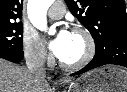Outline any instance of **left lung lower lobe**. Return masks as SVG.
<instances>
[{
  "mask_svg": "<svg viewBox=\"0 0 127 92\" xmlns=\"http://www.w3.org/2000/svg\"><path fill=\"white\" fill-rule=\"evenodd\" d=\"M115 64L127 67V39H115L106 43L95 52L93 60L83 69L71 74V76L85 73L91 69Z\"/></svg>",
  "mask_w": 127,
  "mask_h": 92,
  "instance_id": "left-lung-lower-lobe-1",
  "label": "left lung lower lobe"
}]
</instances>
